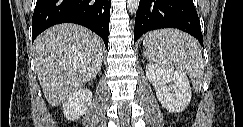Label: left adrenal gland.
<instances>
[{"mask_svg":"<svg viewBox=\"0 0 243 127\" xmlns=\"http://www.w3.org/2000/svg\"><path fill=\"white\" fill-rule=\"evenodd\" d=\"M144 56L146 57V53L144 52Z\"/></svg>","mask_w":243,"mask_h":127,"instance_id":"obj_1","label":"left adrenal gland"}]
</instances>
